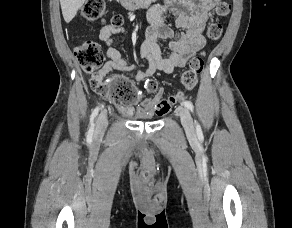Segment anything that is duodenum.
<instances>
[{"instance_id": "1", "label": "duodenum", "mask_w": 292, "mask_h": 228, "mask_svg": "<svg viewBox=\"0 0 292 228\" xmlns=\"http://www.w3.org/2000/svg\"><path fill=\"white\" fill-rule=\"evenodd\" d=\"M126 9H138L151 6L155 0H119Z\"/></svg>"}]
</instances>
